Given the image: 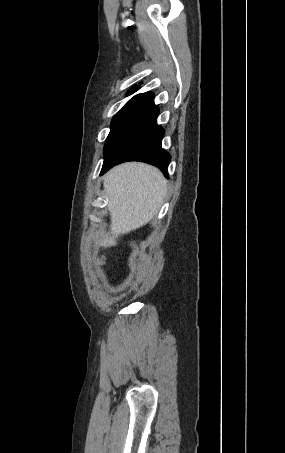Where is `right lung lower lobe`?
Returning a JSON list of instances; mask_svg holds the SVG:
<instances>
[{
	"label": "right lung lower lobe",
	"mask_w": 285,
	"mask_h": 453,
	"mask_svg": "<svg viewBox=\"0 0 285 453\" xmlns=\"http://www.w3.org/2000/svg\"><path fill=\"white\" fill-rule=\"evenodd\" d=\"M159 108L154 94L134 96L114 116L104 146L100 175L126 161H141L158 167L168 178L171 156L161 147L164 129L157 124Z\"/></svg>",
	"instance_id": "1"
}]
</instances>
